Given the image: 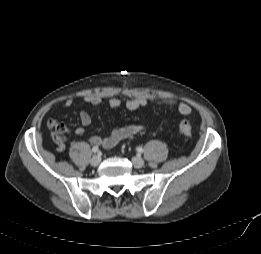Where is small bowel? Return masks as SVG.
<instances>
[{
	"mask_svg": "<svg viewBox=\"0 0 261 254\" xmlns=\"http://www.w3.org/2000/svg\"><path fill=\"white\" fill-rule=\"evenodd\" d=\"M84 101L89 105L96 106L102 102V97L99 95H87L84 98ZM150 103L156 105H165V106L175 108L179 113L183 115H188L191 112V107L188 104L177 101L172 98H163V99L142 98V97L133 98L126 102V108L128 110L135 111L140 108L146 107ZM72 105H73V101L71 99H67L63 102L62 108L69 109L70 107H72ZM108 105L111 109H116L121 105V101L120 99L113 97L109 99ZM79 119H80L81 126L77 127L73 131V133L76 136H82L85 132V127L89 126L92 122L91 115L84 110L80 112ZM47 127L55 131L56 139L60 145L62 144L63 139L58 137L57 135L64 137L66 135L71 134V130L66 125L58 122L55 119H49L47 121ZM145 129L146 126L144 125H127L114 129L105 138H102L98 135H92L89 137V142L94 144L95 146H102L106 149H110L116 146L122 140L129 138Z\"/></svg>",
	"mask_w": 261,
	"mask_h": 254,
	"instance_id": "obj_1",
	"label": "small bowel"
}]
</instances>
